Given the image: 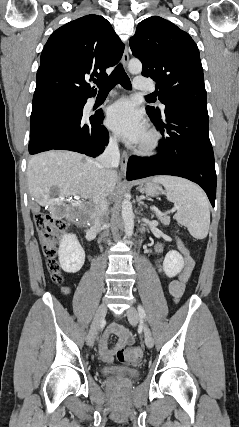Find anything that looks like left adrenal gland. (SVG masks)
Listing matches in <instances>:
<instances>
[{
  "mask_svg": "<svg viewBox=\"0 0 239 427\" xmlns=\"http://www.w3.org/2000/svg\"><path fill=\"white\" fill-rule=\"evenodd\" d=\"M137 202H138V205L140 206V205H143V206H145L146 208H147V205L146 204H144V202L142 201V199L140 198V197H138L137 196Z\"/></svg>",
  "mask_w": 239,
  "mask_h": 427,
  "instance_id": "a2214340",
  "label": "left adrenal gland"
}]
</instances>
